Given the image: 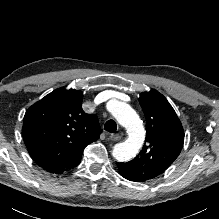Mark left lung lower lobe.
<instances>
[{
	"instance_id": "0a47b994",
	"label": "left lung lower lobe",
	"mask_w": 219,
	"mask_h": 219,
	"mask_svg": "<svg viewBox=\"0 0 219 219\" xmlns=\"http://www.w3.org/2000/svg\"><path fill=\"white\" fill-rule=\"evenodd\" d=\"M118 172L122 177H124L125 179H128L130 181H134V182L146 181L143 178H141L140 176L136 175L134 172H131L130 170L123 168V167H120V166H118Z\"/></svg>"
}]
</instances>
